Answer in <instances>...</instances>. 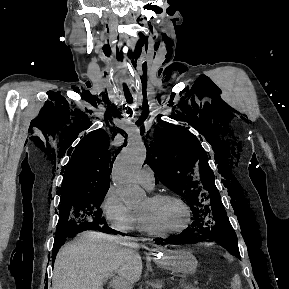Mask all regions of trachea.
<instances>
[{
    "label": "trachea",
    "mask_w": 289,
    "mask_h": 289,
    "mask_svg": "<svg viewBox=\"0 0 289 289\" xmlns=\"http://www.w3.org/2000/svg\"><path fill=\"white\" fill-rule=\"evenodd\" d=\"M127 113H131V109H128V110H127Z\"/></svg>",
    "instance_id": "1"
}]
</instances>
